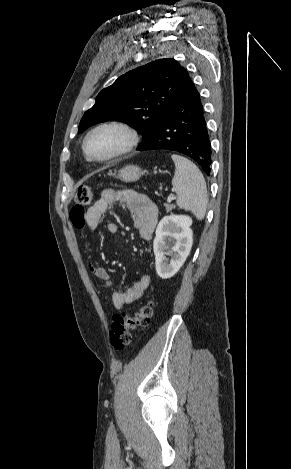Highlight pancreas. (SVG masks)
<instances>
[{"label":"pancreas","instance_id":"cf45deb5","mask_svg":"<svg viewBox=\"0 0 291 469\" xmlns=\"http://www.w3.org/2000/svg\"><path fill=\"white\" fill-rule=\"evenodd\" d=\"M165 207H166V211L170 212L172 209H174L175 206L171 204H165Z\"/></svg>","mask_w":291,"mask_h":469}]
</instances>
